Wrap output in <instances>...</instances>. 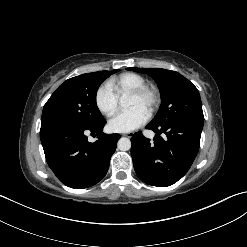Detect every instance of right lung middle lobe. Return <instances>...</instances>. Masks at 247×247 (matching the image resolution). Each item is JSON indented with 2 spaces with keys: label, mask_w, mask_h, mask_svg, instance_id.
<instances>
[{
  "label": "right lung middle lobe",
  "mask_w": 247,
  "mask_h": 247,
  "mask_svg": "<svg viewBox=\"0 0 247 247\" xmlns=\"http://www.w3.org/2000/svg\"><path fill=\"white\" fill-rule=\"evenodd\" d=\"M118 71L86 73L66 80L44 105L41 127L58 123L86 127L104 120L96 104V93L101 83Z\"/></svg>",
  "instance_id": "dd1d6c3e"
}]
</instances>
